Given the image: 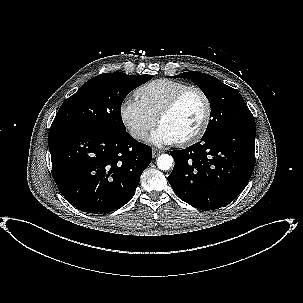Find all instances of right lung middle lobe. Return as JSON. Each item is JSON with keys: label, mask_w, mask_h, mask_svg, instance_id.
I'll use <instances>...</instances> for the list:
<instances>
[{"label": "right lung middle lobe", "mask_w": 303, "mask_h": 303, "mask_svg": "<svg viewBox=\"0 0 303 303\" xmlns=\"http://www.w3.org/2000/svg\"><path fill=\"white\" fill-rule=\"evenodd\" d=\"M152 75L104 73L93 77L61 105L50 131L90 129L108 133L126 131L120 115L125 97Z\"/></svg>", "instance_id": "dd1d6c3e"}]
</instances>
